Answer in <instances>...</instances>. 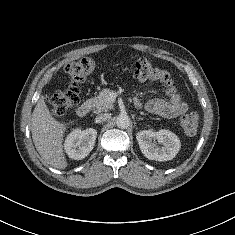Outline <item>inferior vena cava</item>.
Masks as SVG:
<instances>
[{"label":"inferior vena cava","instance_id":"obj_1","mask_svg":"<svg viewBox=\"0 0 235 235\" xmlns=\"http://www.w3.org/2000/svg\"><path fill=\"white\" fill-rule=\"evenodd\" d=\"M108 118H110V115L107 114V113L99 114V115L96 116L95 122L96 123H102V122L106 121Z\"/></svg>","mask_w":235,"mask_h":235}]
</instances>
